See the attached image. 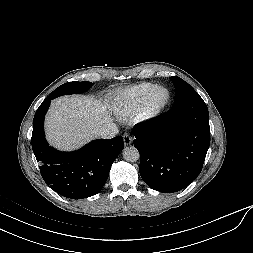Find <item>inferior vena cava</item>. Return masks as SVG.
<instances>
[{
	"label": "inferior vena cava",
	"mask_w": 253,
	"mask_h": 253,
	"mask_svg": "<svg viewBox=\"0 0 253 253\" xmlns=\"http://www.w3.org/2000/svg\"><path fill=\"white\" fill-rule=\"evenodd\" d=\"M119 132L115 123H108L94 130V134L101 138H113Z\"/></svg>",
	"instance_id": "602c4592"
}]
</instances>
